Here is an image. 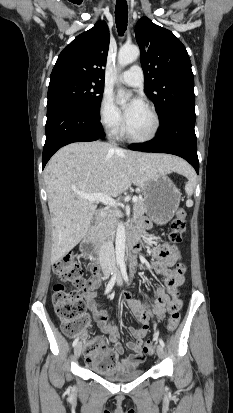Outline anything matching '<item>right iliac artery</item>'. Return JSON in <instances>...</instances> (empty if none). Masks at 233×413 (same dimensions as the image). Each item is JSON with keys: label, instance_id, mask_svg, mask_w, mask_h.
<instances>
[{"label": "right iliac artery", "instance_id": "82829eb1", "mask_svg": "<svg viewBox=\"0 0 233 413\" xmlns=\"http://www.w3.org/2000/svg\"><path fill=\"white\" fill-rule=\"evenodd\" d=\"M117 274H118V269L115 270L113 276L111 277V279H110V281H109V283H108V285H107V287H106L105 294L109 293V292L111 291V289L113 288V286H114V284H115V281H116V279H117ZM78 340H79V338H76V339L73 341V344H72L73 347H75V346L77 345Z\"/></svg>", "mask_w": 233, "mask_h": 413}]
</instances>
